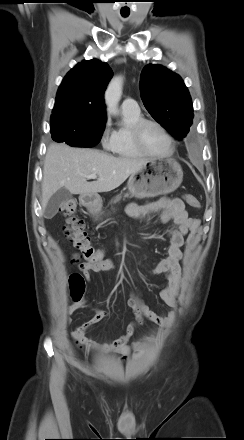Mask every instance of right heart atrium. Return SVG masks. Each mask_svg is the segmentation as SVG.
Returning a JSON list of instances; mask_svg holds the SVG:
<instances>
[{"label":"right heart atrium","instance_id":"1","mask_svg":"<svg viewBox=\"0 0 244 440\" xmlns=\"http://www.w3.org/2000/svg\"><path fill=\"white\" fill-rule=\"evenodd\" d=\"M113 131L111 130L110 122L107 120L103 126L100 141L105 149H109L112 143Z\"/></svg>","mask_w":244,"mask_h":440}]
</instances>
